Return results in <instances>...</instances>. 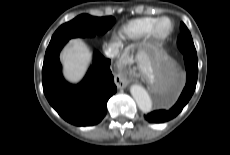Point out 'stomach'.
<instances>
[{
	"mask_svg": "<svg viewBox=\"0 0 230 155\" xmlns=\"http://www.w3.org/2000/svg\"><path fill=\"white\" fill-rule=\"evenodd\" d=\"M153 48L152 47H147L146 49L143 50V52L147 55H151V53L153 52Z\"/></svg>",
	"mask_w": 230,
	"mask_h": 155,
	"instance_id": "obj_1",
	"label": "stomach"
}]
</instances>
